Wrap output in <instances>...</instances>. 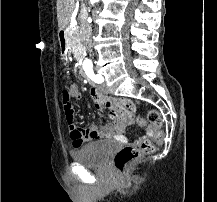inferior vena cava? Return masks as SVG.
Returning <instances> with one entry per match:
<instances>
[{
	"label": "inferior vena cava",
	"instance_id": "602c4592",
	"mask_svg": "<svg viewBox=\"0 0 217 202\" xmlns=\"http://www.w3.org/2000/svg\"><path fill=\"white\" fill-rule=\"evenodd\" d=\"M82 38L84 40V44L89 52L91 54L92 52V30H86L84 34H82Z\"/></svg>",
	"mask_w": 217,
	"mask_h": 202
}]
</instances>
